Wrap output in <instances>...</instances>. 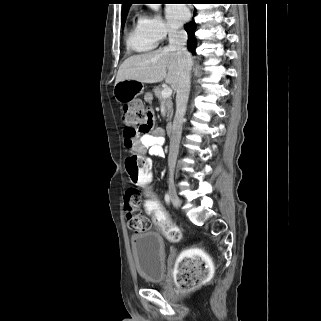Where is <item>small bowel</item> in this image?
<instances>
[{"label":"small bowel","instance_id":"1","mask_svg":"<svg viewBox=\"0 0 321 321\" xmlns=\"http://www.w3.org/2000/svg\"><path fill=\"white\" fill-rule=\"evenodd\" d=\"M150 101V98L146 99ZM124 147L129 152L161 156L163 153L162 145L164 143L163 131L161 128H155L150 133L142 136H133L124 130Z\"/></svg>","mask_w":321,"mask_h":321}]
</instances>
